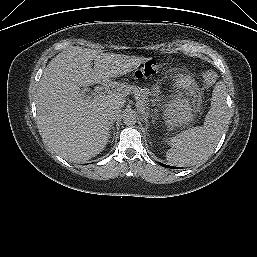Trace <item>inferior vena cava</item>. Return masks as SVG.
I'll use <instances>...</instances> for the list:
<instances>
[{"label":"inferior vena cava","mask_w":257,"mask_h":257,"mask_svg":"<svg viewBox=\"0 0 257 257\" xmlns=\"http://www.w3.org/2000/svg\"><path fill=\"white\" fill-rule=\"evenodd\" d=\"M120 114V109H112L106 112L105 117L110 123H112L120 117Z\"/></svg>","instance_id":"1"}]
</instances>
